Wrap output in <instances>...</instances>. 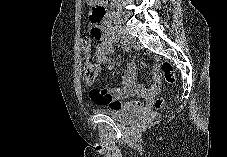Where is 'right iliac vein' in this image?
<instances>
[{"instance_id":"right-iliac-vein-1","label":"right iliac vein","mask_w":227,"mask_h":157,"mask_svg":"<svg viewBox=\"0 0 227 157\" xmlns=\"http://www.w3.org/2000/svg\"><path fill=\"white\" fill-rule=\"evenodd\" d=\"M120 32H121L127 39L132 40V37L129 36V35L124 31L123 28H120Z\"/></svg>"}]
</instances>
